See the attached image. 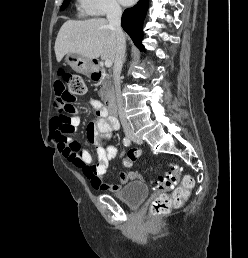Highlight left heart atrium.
<instances>
[{"mask_svg":"<svg viewBox=\"0 0 248 258\" xmlns=\"http://www.w3.org/2000/svg\"><path fill=\"white\" fill-rule=\"evenodd\" d=\"M123 5H131L136 0H120Z\"/></svg>","mask_w":248,"mask_h":258,"instance_id":"obj_1","label":"left heart atrium"}]
</instances>
